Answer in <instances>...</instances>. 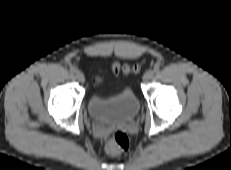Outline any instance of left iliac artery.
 <instances>
[{
	"instance_id": "44dca946",
	"label": "left iliac artery",
	"mask_w": 231,
	"mask_h": 170,
	"mask_svg": "<svg viewBox=\"0 0 231 170\" xmlns=\"http://www.w3.org/2000/svg\"><path fill=\"white\" fill-rule=\"evenodd\" d=\"M160 70V66L159 65H155L154 66V72H158Z\"/></svg>"
}]
</instances>
